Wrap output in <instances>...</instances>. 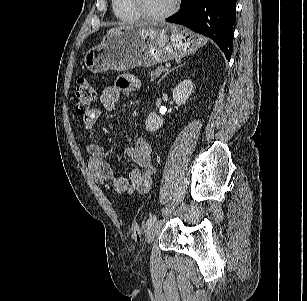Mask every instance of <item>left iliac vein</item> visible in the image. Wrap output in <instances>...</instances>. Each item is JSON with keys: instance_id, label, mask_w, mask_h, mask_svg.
I'll return each mask as SVG.
<instances>
[{"instance_id": "4c4485c4", "label": "left iliac vein", "mask_w": 307, "mask_h": 301, "mask_svg": "<svg viewBox=\"0 0 307 301\" xmlns=\"http://www.w3.org/2000/svg\"><path fill=\"white\" fill-rule=\"evenodd\" d=\"M184 207V204L181 206V209ZM162 227V223L161 222H155L152 226H150L146 232V242L147 244H151L155 237L157 236V234L160 232Z\"/></svg>"}]
</instances>
